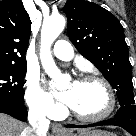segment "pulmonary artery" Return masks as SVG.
<instances>
[{
  "mask_svg": "<svg viewBox=\"0 0 136 136\" xmlns=\"http://www.w3.org/2000/svg\"><path fill=\"white\" fill-rule=\"evenodd\" d=\"M53 54L61 60L68 61L73 57V48L69 42L58 40L53 47Z\"/></svg>",
  "mask_w": 136,
  "mask_h": 136,
  "instance_id": "pulmonary-artery-1",
  "label": "pulmonary artery"
}]
</instances>
